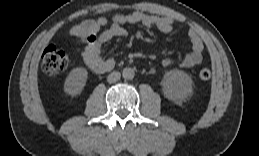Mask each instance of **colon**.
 <instances>
[{"label":"colon","instance_id":"5ec220e1","mask_svg":"<svg viewBox=\"0 0 259 156\" xmlns=\"http://www.w3.org/2000/svg\"><path fill=\"white\" fill-rule=\"evenodd\" d=\"M69 59L67 54L54 45H49L45 48L42 54L41 68L48 76H56L67 69ZM211 71L208 68H203L199 71V78L202 81H207L211 78Z\"/></svg>","mask_w":259,"mask_h":156}]
</instances>
